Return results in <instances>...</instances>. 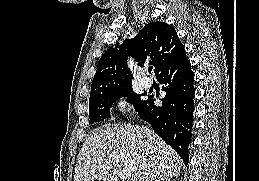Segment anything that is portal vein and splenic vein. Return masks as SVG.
Segmentation results:
<instances>
[{
  "mask_svg": "<svg viewBox=\"0 0 259 181\" xmlns=\"http://www.w3.org/2000/svg\"><path fill=\"white\" fill-rule=\"evenodd\" d=\"M121 159V160H125V157L124 156H119V157H117V159ZM123 176L125 177V178H129L130 176H131V173H132V169L130 168V167H128L127 165H125V167L123 168Z\"/></svg>",
  "mask_w": 259,
  "mask_h": 181,
  "instance_id": "portal-vein-and-splenic-vein-1",
  "label": "portal vein and splenic vein"
}]
</instances>
